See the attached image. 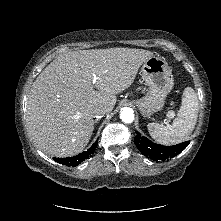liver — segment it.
I'll use <instances>...</instances> for the list:
<instances>
[{
    "mask_svg": "<svg viewBox=\"0 0 221 221\" xmlns=\"http://www.w3.org/2000/svg\"><path fill=\"white\" fill-rule=\"evenodd\" d=\"M152 56L147 50L117 47L58 56L28 95L26 122L33 141L54 157L83 151L94 130L91 109L103 106L110 113L116 94L134 82L140 66Z\"/></svg>",
    "mask_w": 221,
    "mask_h": 221,
    "instance_id": "liver-1",
    "label": "liver"
}]
</instances>
